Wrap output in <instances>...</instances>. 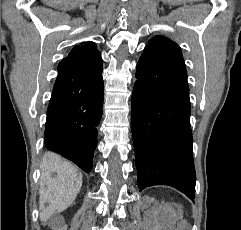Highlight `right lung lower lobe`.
Wrapping results in <instances>:
<instances>
[{
	"label": "right lung lower lobe",
	"mask_w": 241,
	"mask_h": 230,
	"mask_svg": "<svg viewBox=\"0 0 241 230\" xmlns=\"http://www.w3.org/2000/svg\"><path fill=\"white\" fill-rule=\"evenodd\" d=\"M102 71L62 60L47 109L45 146L85 172L92 169L97 146L104 97Z\"/></svg>",
	"instance_id": "1"
}]
</instances>
